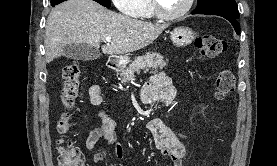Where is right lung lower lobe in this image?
I'll return each mask as SVG.
<instances>
[{
	"label": "right lung lower lobe",
	"instance_id": "obj_1",
	"mask_svg": "<svg viewBox=\"0 0 277 166\" xmlns=\"http://www.w3.org/2000/svg\"><path fill=\"white\" fill-rule=\"evenodd\" d=\"M64 1H66V0H59L57 2L51 3V5L55 6V5L60 4V3L64 2Z\"/></svg>",
	"mask_w": 277,
	"mask_h": 166
}]
</instances>
